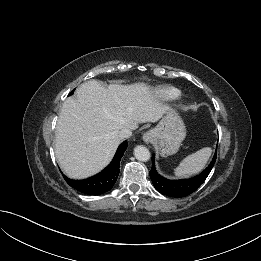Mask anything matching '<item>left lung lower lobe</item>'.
Returning a JSON list of instances; mask_svg holds the SVG:
<instances>
[{
  "instance_id": "1",
  "label": "left lung lower lobe",
  "mask_w": 261,
  "mask_h": 261,
  "mask_svg": "<svg viewBox=\"0 0 261 261\" xmlns=\"http://www.w3.org/2000/svg\"><path fill=\"white\" fill-rule=\"evenodd\" d=\"M216 156L217 150L215 151L210 164L199 175L189 179L169 180L158 174L154 165V155H152V169L150 171V178L155 189L161 194L176 198L185 197L196 191L198 187L206 180L215 164Z\"/></svg>"
}]
</instances>
